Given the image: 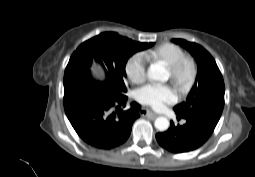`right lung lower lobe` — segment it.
<instances>
[{
	"mask_svg": "<svg viewBox=\"0 0 255 177\" xmlns=\"http://www.w3.org/2000/svg\"><path fill=\"white\" fill-rule=\"evenodd\" d=\"M126 101L125 95L117 97L102 87L64 86V108L71 125L84 142L99 149L118 147L130 136L142 111L136 102L120 110Z\"/></svg>",
	"mask_w": 255,
	"mask_h": 177,
	"instance_id": "98d812e1",
	"label": "right lung lower lobe"
}]
</instances>
